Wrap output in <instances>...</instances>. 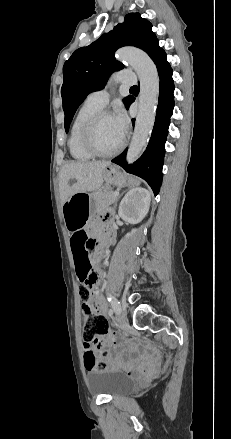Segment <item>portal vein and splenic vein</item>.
<instances>
[{"label":"portal vein and splenic vein","mask_w":231,"mask_h":439,"mask_svg":"<svg viewBox=\"0 0 231 439\" xmlns=\"http://www.w3.org/2000/svg\"><path fill=\"white\" fill-rule=\"evenodd\" d=\"M113 195H114V196H118V195H119V192H118V191H115V192L113 193Z\"/></svg>","instance_id":"obj_1"}]
</instances>
